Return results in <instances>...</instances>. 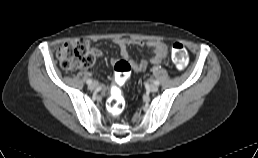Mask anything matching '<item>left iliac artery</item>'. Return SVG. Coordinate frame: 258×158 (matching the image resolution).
Segmentation results:
<instances>
[{"mask_svg": "<svg viewBox=\"0 0 258 158\" xmlns=\"http://www.w3.org/2000/svg\"><path fill=\"white\" fill-rule=\"evenodd\" d=\"M154 84L159 85V81L155 80Z\"/></svg>", "mask_w": 258, "mask_h": 158, "instance_id": "1", "label": "left iliac artery"}]
</instances>
